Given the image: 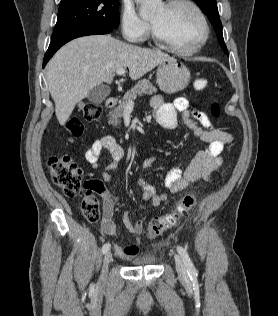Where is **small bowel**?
<instances>
[{
    "instance_id": "obj_1",
    "label": "small bowel",
    "mask_w": 278,
    "mask_h": 316,
    "mask_svg": "<svg viewBox=\"0 0 278 316\" xmlns=\"http://www.w3.org/2000/svg\"><path fill=\"white\" fill-rule=\"evenodd\" d=\"M151 105L155 110L157 122L164 128L175 129L177 127V115L181 114L184 124L196 137L207 143L206 148L198 150L194 154L184 170L179 167H173L169 170L164 180L168 192L176 193L185 189L191 183L207 180L211 173L221 166L222 153L232 142V135L216 128L205 112L194 107L184 97L177 98L173 103H168L161 96H154ZM103 150H107L112 157V162L102 174L103 180L109 182L112 179L111 172L118 169L125 151L113 136L108 134L100 136L89 145L84 154L85 160L92 168L99 167V159ZM155 161V156L146 158L142 163V168H150ZM137 183L142 189L143 201L150 203L153 207H158L167 200L166 193H157L154 186L144 178L140 177ZM99 193L104 199L103 216L100 223L101 231L107 236H115L117 233L113 220L115 202L105 189L102 188ZM122 222L128 233L135 238L136 244H139L144 222L137 220L132 223L129 211L124 212ZM114 249L119 255L132 256L119 246H115Z\"/></svg>"
}]
</instances>
